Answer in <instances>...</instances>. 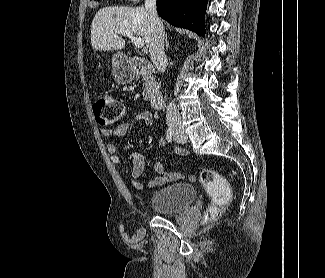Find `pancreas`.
<instances>
[{
	"label": "pancreas",
	"mask_w": 325,
	"mask_h": 278,
	"mask_svg": "<svg viewBox=\"0 0 325 278\" xmlns=\"http://www.w3.org/2000/svg\"><path fill=\"white\" fill-rule=\"evenodd\" d=\"M145 90L143 92V97L145 100H148L153 93L158 92L157 82L153 77H145Z\"/></svg>",
	"instance_id": "1"
}]
</instances>
